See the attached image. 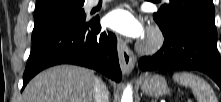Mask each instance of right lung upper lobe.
Segmentation results:
<instances>
[{
	"label": "right lung upper lobe",
	"instance_id": "cb5924a9",
	"mask_svg": "<svg viewBox=\"0 0 221 102\" xmlns=\"http://www.w3.org/2000/svg\"><path fill=\"white\" fill-rule=\"evenodd\" d=\"M46 1H48V0H37L36 1V7L37 8L40 7L42 4L46 3Z\"/></svg>",
	"mask_w": 221,
	"mask_h": 102
}]
</instances>
